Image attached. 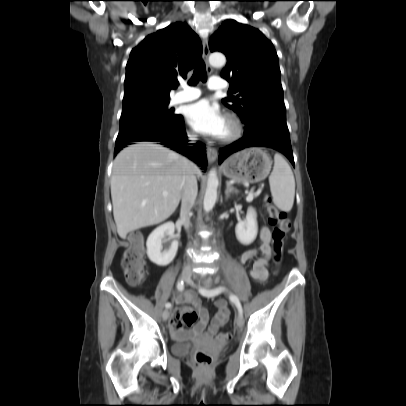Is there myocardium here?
Wrapping results in <instances>:
<instances>
[{
	"label": "myocardium",
	"instance_id": "f54148a6",
	"mask_svg": "<svg viewBox=\"0 0 406 406\" xmlns=\"http://www.w3.org/2000/svg\"><path fill=\"white\" fill-rule=\"evenodd\" d=\"M225 121L228 123L231 130L227 135L220 137V141L230 143L239 139L243 134V124L241 120L235 114L227 113Z\"/></svg>",
	"mask_w": 406,
	"mask_h": 406
}]
</instances>
